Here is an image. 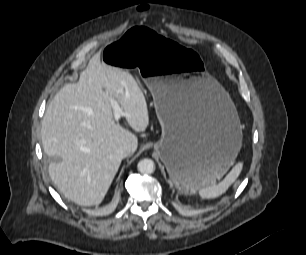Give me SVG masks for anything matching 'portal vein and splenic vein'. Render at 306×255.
I'll return each instance as SVG.
<instances>
[{"mask_svg": "<svg viewBox=\"0 0 306 255\" xmlns=\"http://www.w3.org/2000/svg\"><path fill=\"white\" fill-rule=\"evenodd\" d=\"M111 105H112L113 110H114V119L115 120H118L121 116L125 115L122 108L119 106V104L115 100L111 99Z\"/></svg>", "mask_w": 306, "mask_h": 255, "instance_id": "18ae733b", "label": "portal vein and splenic vein"}]
</instances>
